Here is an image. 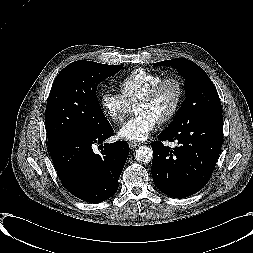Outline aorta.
<instances>
[{"mask_svg":"<svg viewBox=\"0 0 253 253\" xmlns=\"http://www.w3.org/2000/svg\"><path fill=\"white\" fill-rule=\"evenodd\" d=\"M135 158L141 162H150L153 158V151L148 146H139L135 151Z\"/></svg>","mask_w":253,"mask_h":253,"instance_id":"762f6f07","label":"aorta"}]
</instances>
